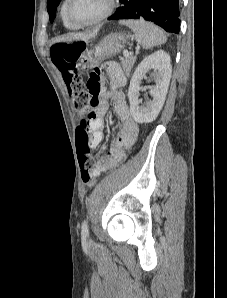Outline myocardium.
<instances>
[{
  "label": "myocardium",
  "instance_id": "myocardium-1",
  "mask_svg": "<svg viewBox=\"0 0 227 298\" xmlns=\"http://www.w3.org/2000/svg\"><path fill=\"white\" fill-rule=\"evenodd\" d=\"M71 1L72 0H65V16L68 22L74 27H85V26H91V25L100 23L101 21L105 20L112 14L116 6V0H106L105 9L99 16H97L96 18L90 21L79 23V22H76L70 15L69 7H70Z\"/></svg>",
  "mask_w": 227,
  "mask_h": 298
}]
</instances>
